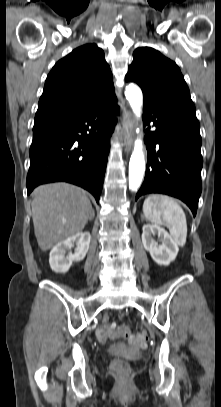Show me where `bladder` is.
Wrapping results in <instances>:
<instances>
[{
	"mask_svg": "<svg viewBox=\"0 0 221 407\" xmlns=\"http://www.w3.org/2000/svg\"><path fill=\"white\" fill-rule=\"evenodd\" d=\"M112 349L114 352H120L123 349V345L115 344Z\"/></svg>",
	"mask_w": 221,
	"mask_h": 407,
	"instance_id": "1",
	"label": "bladder"
}]
</instances>
